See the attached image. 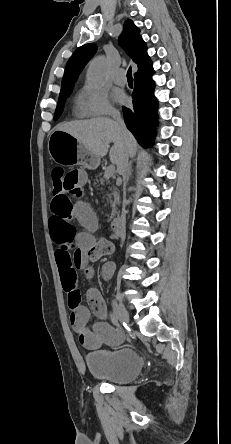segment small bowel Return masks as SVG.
<instances>
[{
	"instance_id": "obj_1",
	"label": "small bowel",
	"mask_w": 231,
	"mask_h": 444,
	"mask_svg": "<svg viewBox=\"0 0 231 444\" xmlns=\"http://www.w3.org/2000/svg\"><path fill=\"white\" fill-rule=\"evenodd\" d=\"M87 179L88 174L83 169H73L66 174L65 185L73 198L68 195L58 199L52 198L49 229L51 239L56 245L55 259L62 286L68 295L71 326L80 343L89 350H95L102 345L119 344L123 335L103 320L96 322L92 327L89 325L91 313L100 318L106 315L105 301L96 288L90 287L87 290L88 306L81 301L76 270H81L84 275L91 277L90 264L114 250L110 242L97 240L91 233L96 226V216L82 196ZM74 220L83 225L85 230L77 232ZM113 270L114 266L106 263L102 268L103 278L109 280Z\"/></svg>"
}]
</instances>
